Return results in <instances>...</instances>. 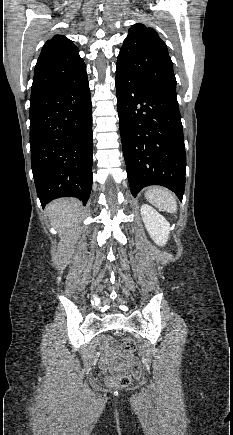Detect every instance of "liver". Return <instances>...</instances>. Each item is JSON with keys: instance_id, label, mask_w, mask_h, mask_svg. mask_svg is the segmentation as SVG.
<instances>
[{"instance_id": "liver-1", "label": "liver", "mask_w": 233, "mask_h": 435, "mask_svg": "<svg viewBox=\"0 0 233 435\" xmlns=\"http://www.w3.org/2000/svg\"><path fill=\"white\" fill-rule=\"evenodd\" d=\"M81 211V203L73 198H62L51 202L46 212L53 226L60 232L70 229L78 219Z\"/></svg>"}]
</instances>
